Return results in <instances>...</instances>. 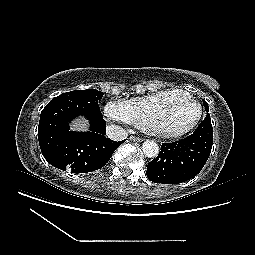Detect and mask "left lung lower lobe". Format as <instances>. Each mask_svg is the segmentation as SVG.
<instances>
[{"label": "left lung lower lobe", "mask_w": 255, "mask_h": 255, "mask_svg": "<svg viewBox=\"0 0 255 255\" xmlns=\"http://www.w3.org/2000/svg\"><path fill=\"white\" fill-rule=\"evenodd\" d=\"M212 144L213 131L208 113L190 136L162 143L158 156L148 163L147 177L163 184H178L195 177L204 167Z\"/></svg>", "instance_id": "1"}]
</instances>
